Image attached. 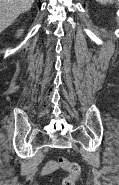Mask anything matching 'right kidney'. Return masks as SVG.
<instances>
[{"label": "right kidney", "instance_id": "right-kidney-1", "mask_svg": "<svg viewBox=\"0 0 119 185\" xmlns=\"http://www.w3.org/2000/svg\"><path fill=\"white\" fill-rule=\"evenodd\" d=\"M22 33H23V30L21 29V30H19V31L17 32L16 36L19 37V36L22 35Z\"/></svg>", "mask_w": 119, "mask_h": 185}]
</instances>
